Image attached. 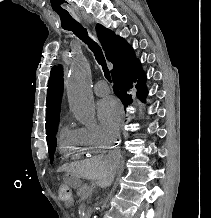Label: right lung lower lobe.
<instances>
[{"mask_svg":"<svg viewBox=\"0 0 211 218\" xmlns=\"http://www.w3.org/2000/svg\"><path fill=\"white\" fill-rule=\"evenodd\" d=\"M111 74L114 83L113 90L119 99L128 98L126 91L133 87L134 82H137L135 85L137 88L136 95L141 101L145 102L148 93L145 86L146 76L135 55L115 66Z\"/></svg>","mask_w":211,"mask_h":218,"instance_id":"right-lung-lower-lobe-1","label":"right lung lower lobe"}]
</instances>
